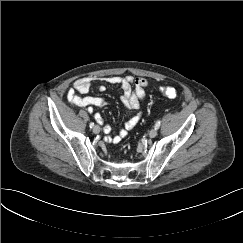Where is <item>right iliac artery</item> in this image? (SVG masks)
I'll use <instances>...</instances> for the list:
<instances>
[{
    "label": "right iliac artery",
    "instance_id": "obj_1",
    "mask_svg": "<svg viewBox=\"0 0 243 243\" xmlns=\"http://www.w3.org/2000/svg\"><path fill=\"white\" fill-rule=\"evenodd\" d=\"M89 126H90V128H93V127H94V123L91 122V123L89 124Z\"/></svg>",
    "mask_w": 243,
    "mask_h": 243
}]
</instances>
